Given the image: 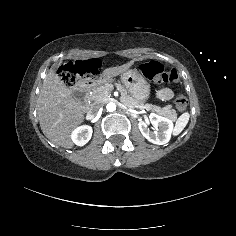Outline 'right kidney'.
I'll list each match as a JSON object with an SVG mask.
<instances>
[{
  "instance_id": "obj_1",
  "label": "right kidney",
  "mask_w": 236,
  "mask_h": 236,
  "mask_svg": "<svg viewBox=\"0 0 236 236\" xmlns=\"http://www.w3.org/2000/svg\"><path fill=\"white\" fill-rule=\"evenodd\" d=\"M91 136L92 128L89 126H82L73 132L72 139L77 145L83 146L90 140Z\"/></svg>"
}]
</instances>
